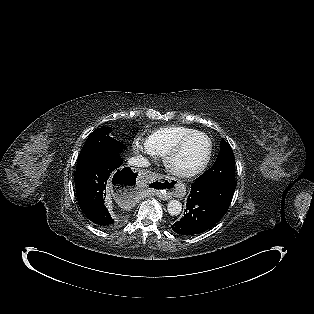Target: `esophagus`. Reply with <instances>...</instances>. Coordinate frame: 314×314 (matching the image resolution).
<instances>
[{
	"mask_svg": "<svg viewBox=\"0 0 314 314\" xmlns=\"http://www.w3.org/2000/svg\"><path fill=\"white\" fill-rule=\"evenodd\" d=\"M166 180H168L170 185H173V187L167 186L161 192L158 191L156 194L159 195L161 199L168 200L172 198V196L181 198L186 194L184 185L180 181L169 177H166Z\"/></svg>",
	"mask_w": 314,
	"mask_h": 314,
	"instance_id": "esophagus-1",
	"label": "esophagus"
}]
</instances>
